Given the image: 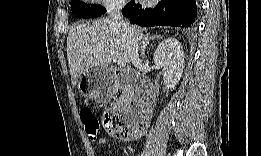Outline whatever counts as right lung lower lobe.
Returning a JSON list of instances; mask_svg holds the SVG:
<instances>
[{"instance_id":"right-lung-lower-lobe-1","label":"right lung lower lobe","mask_w":261,"mask_h":156,"mask_svg":"<svg viewBox=\"0 0 261 156\" xmlns=\"http://www.w3.org/2000/svg\"><path fill=\"white\" fill-rule=\"evenodd\" d=\"M124 16L129 17L131 23L145 27L155 25L190 27L197 16V2L195 0H160L152 8H145V4L130 1L122 10Z\"/></svg>"}]
</instances>
